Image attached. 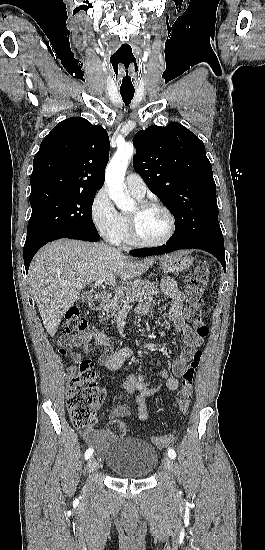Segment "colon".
<instances>
[{"label":"colon","mask_w":265,"mask_h":550,"mask_svg":"<svg viewBox=\"0 0 265 550\" xmlns=\"http://www.w3.org/2000/svg\"><path fill=\"white\" fill-rule=\"evenodd\" d=\"M209 267L206 262L197 264L186 276V316L195 332L205 337L209 328L203 321V294L208 284ZM86 320L76 308L69 309L62 323L61 333L76 334L85 331ZM64 353V349H60ZM202 359V351L198 350L188 364L183 376L182 386L176 395V402L181 414L185 415L191 405L194 390V379ZM105 397V391L97 386L93 362L89 359L81 360L76 366V373L68 383L66 393L67 408L72 424L76 428H88L96 421V408ZM125 423L112 419L108 423V432L115 437L126 433ZM173 441V435L168 434L154 438L153 443L159 447H166Z\"/></svg>","instance_id":"colon-1"}]
</instances>
